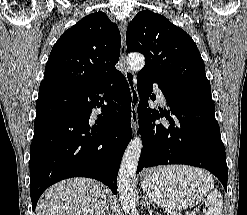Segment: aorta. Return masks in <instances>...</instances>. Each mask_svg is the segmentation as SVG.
Listing matches in <instances>:
<instances>
[{
  "label": "aorta",
  "mask_w": 247,
  "mask_h": 215,
  "mask_svg": "<svg viewBox=\"0 0 247 215\" xmlns=\"http://www.w3.org/2000/svg\"><path fill=\"white\" fill-rule=\"evenodd\" d=\"M130 70L138 72L145 65V57L139 53H131L127 57ZM142 150L140 136L134 137L128 144L118 173V192L125 215H139L136 206L135 176Z\"/></svg>",
  "instance_id": "obj_1"
}]
</instances>
